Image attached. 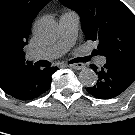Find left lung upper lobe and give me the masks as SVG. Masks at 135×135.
<instances>
[{"label": "left lung upper lobe", "instance_id": "left-lung-upper-lobe-1", "mask_svg": "<svg viewBox=\"0 0 135 135\" xmlns=\"http://www.w3.org/2000/svg\"><path fill=\"white\" fill-rule=\"evenodd\" d=\"M76 11L89 40L97 41L96 54L106 64L135 75V15L120 0H60Z\"/></svg>", "mask_w": 135, "mask_h": 135}]
</instances>
